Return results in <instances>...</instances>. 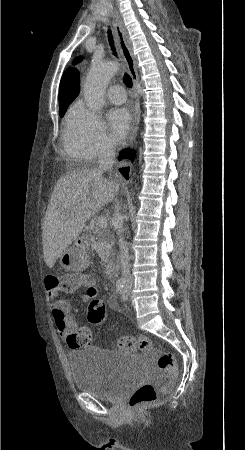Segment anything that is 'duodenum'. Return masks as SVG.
<instances>
[{
  "label": "duodenum",
  "instance_id": "410a0bca",
  "mask_svg": "<svg viewBox=\"0 0 245 450\" xmlns=\"http://www.w3.org/2000/svg\"><path fill=\"white\" fill-rule=\"evenodd\" d=\"M79 244L83 248L89 247V242L84 237H81L79 239ZM117 269H118V263H116L114 261H111L106 267V271L111 277L114 276V274L116 273Z\"/></svg>",
  "mask_w": 245,
  "mask_h": 450
}]
</instances>
